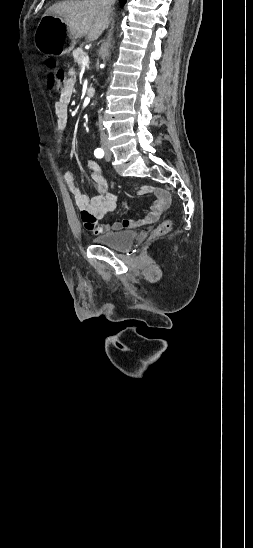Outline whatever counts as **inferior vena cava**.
Here are the masks:
<instances>
[{"mask_svg": "<svg viewBox=\"0 0 253 548\" xmlns=\"http://www.w3.org/2000/svg\"><path fill=\"white\" fill-rule=\"evenodd\" d=\"M116 0H99L101 6L105 9V12L107 14V16L112 12L113 10V5L115 3ZM100 118L98 119L100 122L98 123L99 124V130H100V139L101 141H105L107 139V136L105 134V131H104V125H102L103 123L101 122L103 119V115L101 114L99 116Z\"/></svg>", "mask_w": 253, "mask_h": 548, "instance_id": "inferior-vena-cava-1", "label": "inferior vena cava"}]
</instances>
